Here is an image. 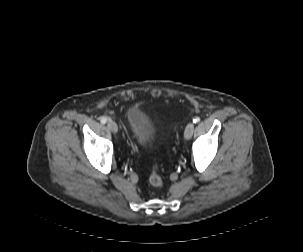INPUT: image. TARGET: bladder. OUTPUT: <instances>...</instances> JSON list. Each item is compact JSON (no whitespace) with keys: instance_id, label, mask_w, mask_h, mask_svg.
<instances>
[{"instance_id":"31cf9c89","label":"bladder","mask_w":303,"mask_h":252,"mask_svg":"<svg viewBox=\"0 0 303 252\" xmlns=\"http://www.w3.org/2000/svg\"><path fill=\"white\" fill-rule=\"evenodd\" d=\"M127 122L136 143L145 150L150 149L154 144L155 127L149 115L134 107L128 111Z\"/></svg>"}]
</instances>
